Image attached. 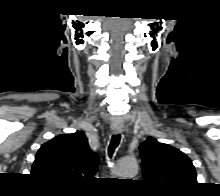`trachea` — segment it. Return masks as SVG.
Instances as JSON below:
<instances>
[{
	"label": "trachea",
	"instance_id": "1",
	"mask_svg": "<svg viewBox=\"0 0 220 196\" xmlns=\"http://www.w3.org/2000/svg\"><path fill=\"white\" fill-rule=\"evenodd\" d=\"M120 140H121V135L120 134L112 136L109 147H108V154H109L110 157H112L115 149L118 147V145L120 143Z\"/></svg>",
	"mask_w": 220,
	"mask_h": 196
}]
</instances>
